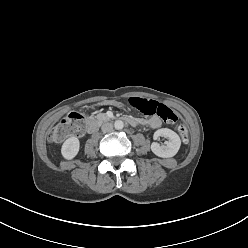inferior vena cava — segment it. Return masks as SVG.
Returning a JSON list of instances; mask_svg holds the SVG:
<instances>
[{
    "label": "inferior vena cava",
    "instance_id": "obj_1",
    "mask_svg": "<svg viewBox=\"0 0 248 248\" xmlns=\"http://www.w3.org/2000/svg\"><path fill=\"white\" fill-rule=\"evenodd\" d=\"M112 129H113V124L112 123H104L103 125H102V127H101V130L103 131V132H110V131H112Z\"/></svg>",
    "mask_w": 248,
    "mask_h": 248
}]
</instances>
